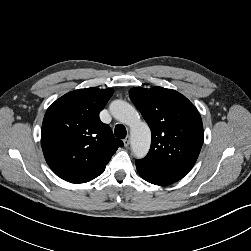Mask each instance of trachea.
I'll use <instances>...</instances> for the list:
<instances>
[{"mask_svg": "<svg viewBox=\"0 0 251 251\" xmlns=\"http://www.w3.org/2000/svg\"><path fill=\"white\" fill-rule=\"evenodd\" d=\"M114 134L117 138L124 139L127 134L126 128L121 124H117L115 126Z\"/></svg>", "mask_w": 251, "mask_h": 251, "instance_id": "obj_1", "label": "trachea"}]
</instances>
